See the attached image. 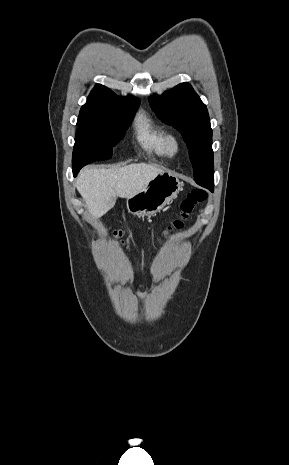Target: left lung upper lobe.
I'll return each mask as SVG.
<instances>
[{"instance_id": "obj_1", "label": "left lung upper lobe", "mask_w": 289, "mask_h": 465, "mask_svg": "<svg viewBox=\"0 0 289 465\" xmlns=\"http://www.w3.org/2000/svg\"><path fill=\"white\" fill-rule=\"evenodd\" d=\"M149 102L160 119L182 134L189 148L196 183L213 190L212 129L206 105L186 82L160 97H150Z\"/></svg>"}]
</instances>
